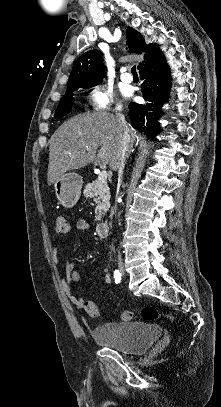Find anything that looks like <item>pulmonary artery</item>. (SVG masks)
Instances as JSON below:
<instances>
[{
	"instance_id": "pulmonary-artery-1",
	"label": "pulmonary artery",
	"mask_w": 221,
	"mask_h": 407,
	"mask_svg": "<svg viewBox=\"0 0 221 407\" xmlns=\"http://www.w3.org/2000/svg\"><path fill=\"white\" fill-rule=\"evenodd\" d=\"M120 79L123 83H130L132 81V76L129 73H122Z\"/></svg>"
}]
</instances>
